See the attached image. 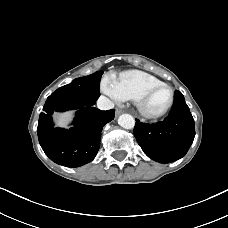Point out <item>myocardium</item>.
<instances>
[{
	"instance_id": "obj_1",
	"label": "myocardium",
	"mask_w": 228,
	"mask_h": 228,
	"mask_svg": "<svg viewBox=\"0 0 228 228\" xmlns=\"http://www.w3.org/2000/svg\"><path fill=\"white\" fill-rule=\"evenodd\" d=\"M161 87H165L169 90V92H170L169 101L162 110H160L158 112H150L146 109V106H145L146 101L152 92H154L155 90H157ZM174 99H175V93H174L173 88L170 85L162 82V83L154 84V85L147 87L135 101H136L137 109H138L139 113L141 114V116H143L147 119H158V118L163 117L164 115H166L169 112V110L172 108V106L174 104Z\"/></svg>"
}]
</instances>
